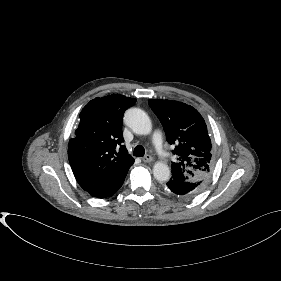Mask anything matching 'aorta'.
<instances>
[{
	"mask_svg": "<svg viewBox=\"0 0 281 281\" xmlns=\"http://www.w3.org/2000/svg\"><path fill=\"white\" fill-rule=\"evenodd\" d=\"M125 123L133 132L140 135L150 134L152 123L146 112L139 108H130L124 115ZM170 168L164 162H157L153 167V175L158 181H168L170 179Z\"/></svg>",
	"mask_w": 281,
	"mask_h": 281,
	"instance_id": "aorta-1",
	"label": "aorta"
}]
</instances>
